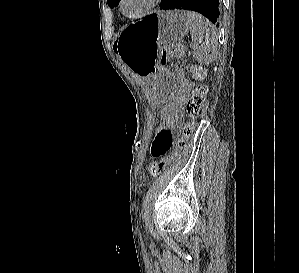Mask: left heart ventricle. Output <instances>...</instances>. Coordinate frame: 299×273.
<instances>
[{
	"label": "left heart ventricle",
	"instance_id": "obj_1",
	"mask_svg": "<svg viewBox=\"0 0 299 273\" xmlns=\"http://www.w3.org/2000/svg\"><path fill=\"white\" fill-rule=\"evenodd\" d=\"M149 0H125L124 11L127 14H135L140 12Z\"/></svg>",
	"mask_w": 299,
	"mask_h": 273
}]
</instances>
